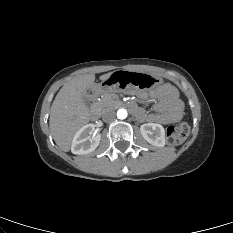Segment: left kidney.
I'll list each match as a JSON object with an SVG mask.
<instances>
[{"mask_svg": "<svg viewBox=\"0 0 233 233\" xmlns=\"http://www.w3.org/2000/svg\"><path fill=\"white\" fill-rule=\"evenodd\" d=\"M140 132L148 143L157 147H163L165 145V130L162 125L146 123L141 125Z\"/></svg>", "mask_w": 233, "mask_h": 233, "instance_id": "1", "label": "left kidney"}]
</instances>
